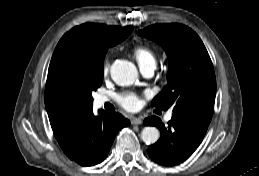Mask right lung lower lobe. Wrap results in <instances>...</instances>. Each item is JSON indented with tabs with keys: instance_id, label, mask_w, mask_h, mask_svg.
<instances>
[{
	"instance_id": "98d812e1",
	"label": "right lung lower lobe",
	"mask_w": 259,
	"mask_h": 176,
	"mask_svg": "<svg viewBox=\"0 0 259 176\" xmlns=\"http://www.w3.org/2000/svg\"><path fill=\"white\" fill-rule=\"evenodd\" d=\"M92 109L86 114L70 121L61 131L54 133L64 153L82 166H92L102 162L120 128L130 121L115 112Z\"/></svg>"
}]
</instances>
